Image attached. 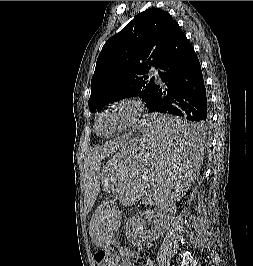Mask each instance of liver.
Instances as JSON below:
<instances>
[{
    "label": "liver",
    "instance_id": "1",
    "mask_svg": "<svg viewBox=\"0 0 253 266\" xmlns=\"http://www.w3.org/2000/svg\"><path fill=\"white\" fill-rule=\"evenodd\" d=\"M126 140H127V138H125V137L121 138V139H117V140L109 142L105 145L99 146V147L95 148L93 151H91V153L88 155V157L86 159V164H85L86 173L88 175H91L95 171H98L101 160L104 159L105 157L112 155L114 152L120 150V147L122 145H124ZM179 189H180V187L177 188V190H179ZM91 237L93 240V235H91Z\"/></svg>",
    "mask_w": 253,
    "mask_h": 266
}]
</instances>
